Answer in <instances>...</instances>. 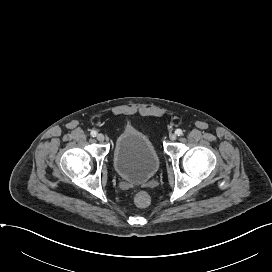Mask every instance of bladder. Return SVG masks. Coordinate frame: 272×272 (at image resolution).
Segmentation results:
<instances>
[{"instance_id":"bladder-1","label":"bladder","mask_w":272,"mask_h":272,"mask_svg":"<svg viewBox=\"0 0 272 272\" xmlns=\"http://www.w3.org/2000/svg\"><path fill=\"white\" fill-rule=\"evenodd\" d=\"M113 164L122 179L140 183L155 175L160 159L156 148L145 134L128 128L115 141Z\"/></svg>"}]
</instances>
